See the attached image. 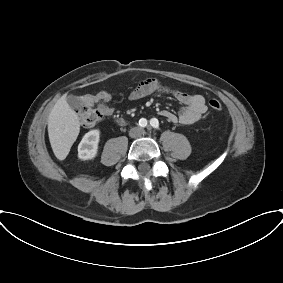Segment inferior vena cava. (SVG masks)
<instances>
[{"label": "inferior vena cava", "instance_id": "1", "mask_svg": "<svg viewBox=\"0 0 283 283\" xmlns=\"http://www.w3.org/2000/svg\"><path fill=\"white\" fill-rule=\"evenodd\" d=\"M140 133H141V128L136 127V128H133V129L130 130L129 135L131 137H135V136L139 135Z\"/></svg>", "mask_w": 283, "mask_h": 283}]
</instances>
